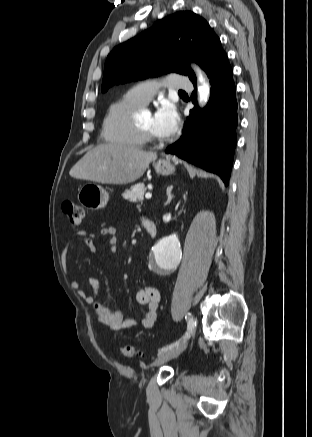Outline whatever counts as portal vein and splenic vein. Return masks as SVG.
I'll use <instances>...</instances> for the list:
<instances>
[{
  "label": "portal vein and splenic vein",
  "instance_id": "1",
  "mask_svg": "<svg viewBox=\"0 0 312 437\" xmlns=\"http://www.w3.org/2000/svg\"><path fill=\"white\" fill-rule=\"evenodd\" d=\"M152 197V194L151 193H146V195H145V198L146 199H150Z\"/></svg>",
  "mask_w": 312,
  "mask_h": 437
}]
</instances>
